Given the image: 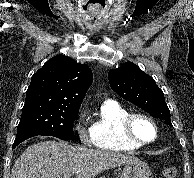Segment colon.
Segmentation results:
<instances>
[{
  "mask_svg": "<svg viewBox=\"0 0 194 178\" xmlns=\"http://www.w3.org/2000/svg\"><path fill=\"white\" fill-rule=\"evenodd\" d=\"M164 178H176L177 177V170L173 167H169L164 169L163 171Z\"/></svg>",
  "mask_w": 194,
  "mask_h": 178,
  "instance_id": "5ec220e1",
  "label": "colon"
}]
</instances>
